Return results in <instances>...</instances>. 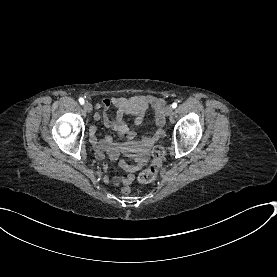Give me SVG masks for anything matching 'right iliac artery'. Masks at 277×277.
Listing matches in <instances>:
<instances>
[{
  "label": "right iliac artery",
  "mask_w": 277,
  "mask_h": 277,
  "mask_svg": "<svg viewBox=\"0 0 277 277\" xmlns=\"http://www.w3.org/2000/svg\"><path fill=\"white\" fill-rule=\"evenodd\" d=\"M79 103H80V104H84V99H83V98H80V99H79Z\"/></svg>",
  "instance_id": "right-iliac-artery-1"
}]
</instances>
